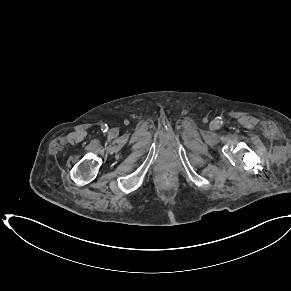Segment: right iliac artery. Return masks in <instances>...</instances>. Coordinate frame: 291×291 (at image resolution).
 I'll list each match as a JSON object with an SVG mask.
<instances>
[{
	"mask_svg": "<svg viewBox=\"0 0 291 291\" xmlns=\"http://www.w3.org/2000/svg\"><path fill=\"white\" fill-rule=\"evenodd\" d=\"M107 125L105 124V125H102V128H101V130L103 131V132H106L107 131V128L108 127H106Z\"/></svg>",
	"mask_w": 291,
	"mask_h": 291,
	"instance_id": "82829eb1",
	"label": "right iliac artery"
}]
</instances>
